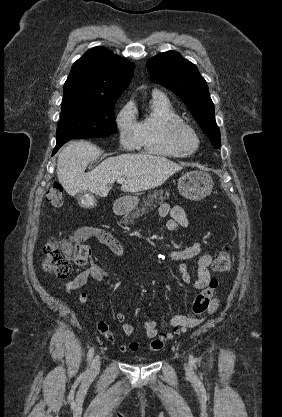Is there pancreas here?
<instances>
[{
	"label": "pancreas",
	"mask_w": 282,
	"mask_h": 417,
	"mask_svg": "<svg viewBox=\"0 0 282 417\" xmlns=\"http://www.w3.org/2000/svg\"><path fill=\"white\" fill-rule=\"evenodd\" d=\"M169 194L168 190H154L152 194H148L147 198H143L144 204H141L140 209H136L134 213H127L126 217H122L120 223L132 225L134 219H138L141 213L145 211V206H151L152 202H157V198H159L160 202H163L164 198H169Z\"/></svg>",
	"instance_id": "1"
}]
</instances>
